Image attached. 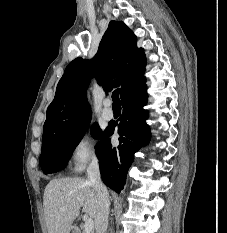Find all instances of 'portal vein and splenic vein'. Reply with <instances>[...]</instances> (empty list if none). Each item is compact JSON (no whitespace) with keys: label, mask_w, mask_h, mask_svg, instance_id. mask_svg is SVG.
Instances as JSON below:
<instances>
[{"label":"portal vein and splenic vein","mask_w":227,"mask_h":233,"mask_svg":"<svg viewBox=\"0 0 227 233\" xmlns=\"http://www.w3.org/2000/svg\"><path fill=\"white\" fill-rule=\"evenodd\" d=\"M94 229V223L92 218H88L85 220L84 224V233H90Z\"/></svg>","instance_id":"obj_1"}]
</instances>
